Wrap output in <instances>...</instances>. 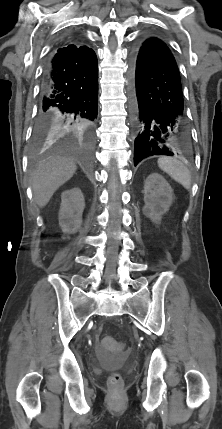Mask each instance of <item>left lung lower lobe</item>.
<instances>
[{
    "label": "left lung lower lobe",
    "mask_w": 222,
    "mask_h": 429,
    "mask_svg": "<svg viewBox=\"0 0 222 429\" xmlns=\"http://www.w3.org/2000/svg\"><path fill=\"white\" fill-rule=\"evenodd\" d=\"M134 165L153 155L189 150L180 73L169 47L158 37L139 41L130 56Z\"/></svg>",
    "instance_id": "1"
}]
</instances>
